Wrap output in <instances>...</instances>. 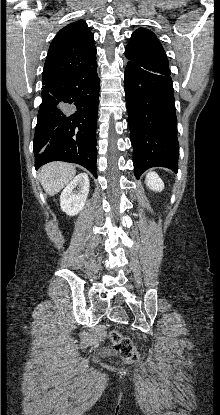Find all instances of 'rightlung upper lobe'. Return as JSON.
Masks as SVG:
<instances>
[{"label": "right lung upper lobe", "mask_w": 220, "mask_h": 415, "mask_svg": "<svg viewBox=\"0 0 220 415\" xmlns=\"http://www.w3.org/2000/svg\"><path fill=\"white\" fill-rule=\"evenodd\" d=\"M96 63L94 36L86 22L78 20L62 28L51 42L42 83L47 84Z\"/></svg>", "instance_id": "obj_1"}]
</instances>
